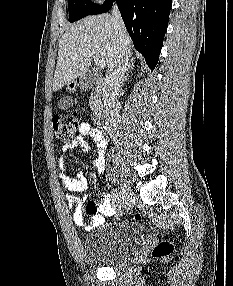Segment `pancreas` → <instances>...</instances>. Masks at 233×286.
I'll use <instances>...</instances> for the list:
<instances>
[{"instance_id":"pancreas-1","label":"pancreas","mask_w":233,"mask_h":286,"mask_svg":"<svg viewBox=\"0 0 233 286\" xmlns=\"http://www.w3.org/2000/svg\"><path fill=\"white\" fill-rule=\"evenodd\" d=\"M89 104H90V107H91V109H92V111H93V114L96 115L97 112H98V109H99V107H100V104L98 103L96 97H94V96L92 95V96L90 97V102H89Z\"/></svg>"}]
</instances>
